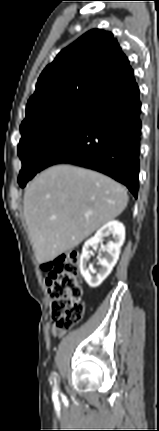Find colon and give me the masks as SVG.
<instances>
[{"label":"colon","instance_id":"1","mask_svg":"<svg viewBox=\"0 0 159 431\" xmlns=\"http://www.w3.org/2000/svg\"><path fill=\"white\" fill-rule=\"evenodd\" d=\"M78 263L79 254L71 251L44 265L49 270L46 283L51 298L52 317L56 327L62 330L76 325L84 312Z\"/></svg>","mask_w":159,"mask_h":431}]
</instances>
